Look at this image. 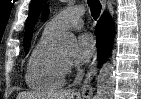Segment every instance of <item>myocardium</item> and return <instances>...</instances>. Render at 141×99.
<instances>
[{"label": "myocardium", "mask_w": 141, "mask_h": 99, "mask_svg": "<svg viewBox=\"0 0 141 99\" xmlns=\"http://www.w3.org/2000/svg\"><path fill=\"white\" fill-rule=\"evenodd\" d=\"M57 58H58L59 64L67 71L70 67V61H65L61 59L60 57H57Z\"/></svg>", "instance_id": "myocardium-1"}]
</instances>
